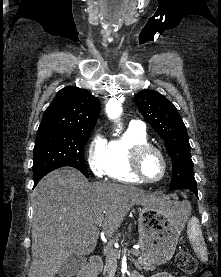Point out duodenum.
Returning a JSON list of instances; mask_svg holds the SVG:
<instances>
[{"label": "duodenum", "mask_w": 221, "mask_h": 277, "mask_svg": "<svg viewBox=\"0 0 221 277\" xmlns=\"http://www.w3.org/2000/svg\"><path fill=\"white\" fill-rule=\"evenodd\" d=\"M103 267L102 258L94 255L90 259V263L78 275V277H97Z\"/></svg>", "instance_id": "duodenum-1"}]
</instances>
